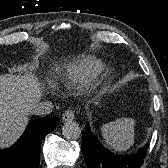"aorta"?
Segmentation results:
<instances>
[{
	"label": "aorta",
	"mask_w": 168,
	"mask_h": 168,
	"mask_svg": "<svg viewBox=\"0 0 168 168\" xmlns=\"http://www.w3.org/2000/svg\"><path fill=\"white\" fill-rule=\"evenodd\" d=\"M63 136L68 140H76L81 135V128L76 122H66L62 128Z\"/></svg>",
	"instance_id": "aorta-1"
}]
</instances>
